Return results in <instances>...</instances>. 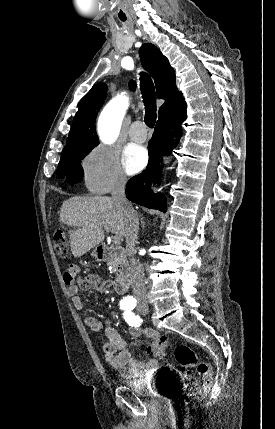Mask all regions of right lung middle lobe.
I'll return each instance as SVG.
<instances>
[{
    "label": "right lung middle lobe",
    "instance_id": "dd1d6c3e",
    "mask_svg": "<svg viewBox=\"0 0 275 429\" xmlns=\"http://www.w3.org/2000/svg\"><path fill=\"white\" fill-rule=\"evenodd\" d=\"M89 152L75 155L62 156L57 168L58 178H66V182L75 184L82 180L83 169L80 165L83 159Z\"/></svg>",
    "mask_w": 275,
    "mask_h": 429
}]
</instances>
